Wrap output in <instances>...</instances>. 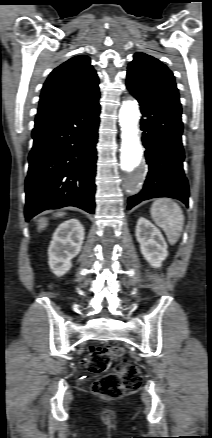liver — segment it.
<instances>
[{
  "label": "liver",
  "mask_w": 212,
  "mask_h": 438,
  "mask_svg": "<svg viewBox=\"0 0 212 438\" xmlns=\"http://www.w3.org/2000/svg\"><path fill=\"white\" fill-rule=\"evenodd\" d=\"M65 213L64 212H58L56 214H54L55 217H62L64 216ZM38 230L41 231L43 229H45L47 227V219L46 218H41L38 221Z\"/></svg>",
  "instance_id": "6515ba94"
}]
</instances>
